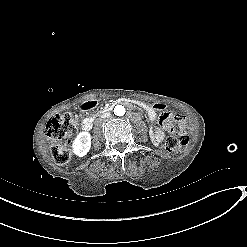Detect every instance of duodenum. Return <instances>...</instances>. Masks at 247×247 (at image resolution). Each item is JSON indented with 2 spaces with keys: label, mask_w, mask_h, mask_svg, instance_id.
<instances>
[{
  "label": "duodenum",
  "mask_w": 247,
  "mask_h": 247,
  "mask_svg": "<svg viewBox=\"0 0 247 247\" xmlns=\"http://www.w3.org/2000/svg\"><path fill=\"white\" fill-rule=\"evenodd\" d=\"M119 104L135 105V104H138V102H136L135 100H132V99L120 98V99L115 100L109 107H107L104 110V112H110L116 105H119ZM95 105H96V102L89 101V102L84 103L81 106V109L83 111H87V110H90L93 107H95ZM93 121H94L93 117L85 118L82 122V129L85 131L91 130V128L93 126Z\"/></svg>",
  "instance_id": "410a0bca"
}]
</instances>
